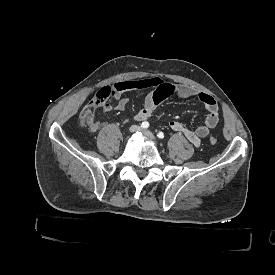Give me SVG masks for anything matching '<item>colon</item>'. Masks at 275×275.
Masks as SVG:
<instances>
[{
  "label": "colon",
  "instance_id": "colon-1",
  "mask_svg": "<svg viewBox=\"0 0 275 275\" xmlns=\"http://www.w3.org/2000/svg\"><path fill=\"white\" fill-rule=\"evenodd\" d=\"M106 103L101 99H96L92 105H90L87 109L80 115V123L84 125L86 123H94L97 122L99 117L105 112ZM216 136H210L209 142L213 145L217 143Z\"/></svg>",
  "mask_w": 275,
  "mask_h": 275
}]
</instances>
